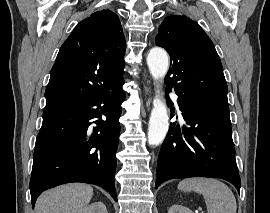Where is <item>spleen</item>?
I'll list each match as a JSON object with an SVG mask.
<instances>
[{
    "instance_id": "1",
    "label": "spleen",
    "mask_w": 270,
    "mask_h": 213,
    "mask_svg": "<svg viewBox=\"0 0 270 213\" xmlns=\"http://www.w3.org/2000/svg\"><path fill=\"white\" fill-rule=\"evenodd\" d=\"M183 192L202 194L208 213H236V199L231 189L213 178H188L178 184Z\"/></svg>"
}]
</instances>
